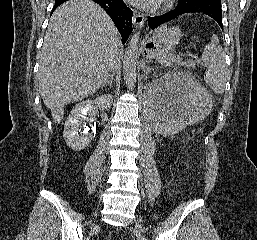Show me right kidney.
Masks as SVG:
<instances>
[{
	"label": "right kidney",
	"mask_w": 257,
	"mask_h": 240,
	"mask_svg": "<svg viewBox=\"0 0 257 240\" xmlns=\"http://www.w3.org/2000/svg\"><path fill=\"white\" fill-rule=\"evenodd\" d=\"M112 103V95L107 94L97 97L95 100L83 101L72 109L65 121L63 132L64 139L71 149L79 151L89 145L93 139L94 128L82 129L88 119L87 115L92 117L97 107L101 110H108Z\"/></svg>",
	"instance_id": "ca27d5eb"
}]
</instances>
